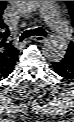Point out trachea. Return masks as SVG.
<instances>
[{
	"label": "trachea",
	"mask_w": 74,
	"mask_h": 122,
	"mask_svg": "<svg viewBox=\"0 0 74 122\" xmlns=\"http://www.w3.org/2000/svg\"><path fill=\"white\" fill-rule=\"evenodd\" d=\"M32 36H44L45 37V36H47V32L41 27H38L35 29H29L22 33V35L19 38V41H23L24 39L32 37Z\"/></svg>",
	"instance_id": "3493384b"
}]
</instances>
